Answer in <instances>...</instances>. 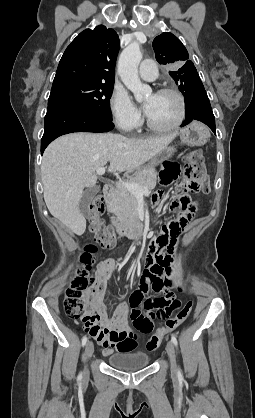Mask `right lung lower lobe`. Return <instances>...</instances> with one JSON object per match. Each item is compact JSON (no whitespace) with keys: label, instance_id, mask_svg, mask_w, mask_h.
I'll return each instance as SVG.
<instances>
[{"label":"right lung lower lobe","instance_id":"right-lung-lower-lobe-1","mask_svg":"<svg viewBox=\"0 0 255 418\" xmlns=\"http://www.w3.org/2000/svg\"><path fill=\"white\" fill-rule=\"evenodd\" d=\"M113 128L112 121H106L83 109L71 106L48 107L41 140V154L50 142L61 135L73 132L101 133Z\"/></svg>","mask_w":255,"mask_h":418}]
</instances>
